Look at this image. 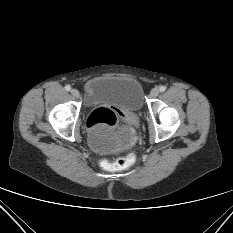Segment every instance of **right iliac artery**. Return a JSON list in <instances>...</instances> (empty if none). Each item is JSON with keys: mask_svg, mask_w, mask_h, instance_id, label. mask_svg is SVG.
Segmentation results:
<instances>
[{"mask_svg": "<svg viewBox=\"0 0 233 233\" xmlns=\"http://www.w3.org/2000/svg\"><path fill=\"white\" fill-rule=\"evenodd\" d=\"M65 90H66V91H70V90H71V86H70V85H66V86H65Z\"/></svg>", "mask_w": 233, "mask_h": 233, "instance_id": "obj_1", "label": "right iliac artery"}]
</instances>
